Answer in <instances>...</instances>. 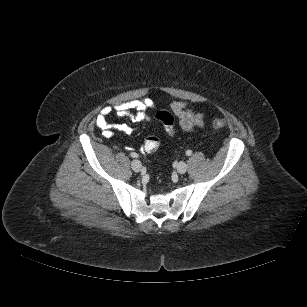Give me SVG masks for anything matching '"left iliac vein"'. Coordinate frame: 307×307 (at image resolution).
Here are the masks:
<instances>
[{"label": "left iliac vein", "mask_w": 307, "mask_h": 307, "mask_svg": "<svg viewBox=\"0 0 307 307\" xmlns=\"http://www.w3.org/2000/svg\"><path fill=\"white\" fill-rule=\"evenodd\" d=\"M187 171V164L185 162H180L178 165H177V172L179 174H184L185 172Z\"/></svg>", "instance_id": "obj_1"}]
</instances>
